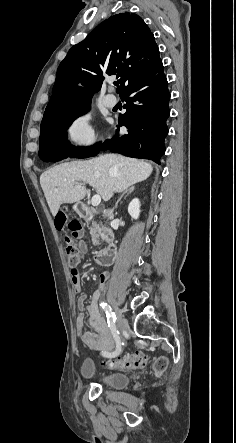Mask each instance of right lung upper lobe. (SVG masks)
Masks as SVG:
<instances>
[{"label": "right lung upper lobe", "mask_w": 236, "mask_h": 443, "mask_svg": "<svg viewBox=\"0 0 236 443\" xmlns=\"http://www.w3.org/2000/svg\"><path fill=\"white\" fill-rule=\"evenodd\" d=\"M159 60L154 35L138 15L111 16L74 45L60 63L43 120L90 104L106 75L121 77L117 89L121 93Z\"/></svg>", "instance_id": "obj_1"}]
</instances>
